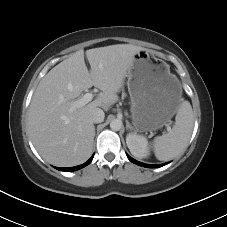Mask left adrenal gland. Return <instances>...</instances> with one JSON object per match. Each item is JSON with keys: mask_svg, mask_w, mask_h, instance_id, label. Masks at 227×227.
<instances>
[{"mask_svg": "<svg viewBox=\"0 0 227 227\" xmlns=\"http://www.w3.org/2000/svg\"><path fill=\"white\" fill-rule=\"evenodd\" d=\"M126 129L127 130L132 129V126L130 125L128 120H126Z\"/></svg>", "mask_w": 227, "mask_h": 227, "instance_id": "left-adrenal-gland-1", "label": "left adrenal gland"}]
</instances>
